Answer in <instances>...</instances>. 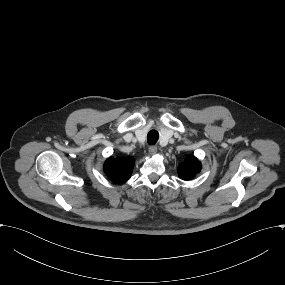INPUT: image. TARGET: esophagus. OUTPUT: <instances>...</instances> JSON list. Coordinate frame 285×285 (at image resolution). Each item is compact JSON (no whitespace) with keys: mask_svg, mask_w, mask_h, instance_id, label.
<instances>
[{"mask_svg":"<svg viewBox=\"0 0 285 285\" xmlns=\"http://www.w3.org/2000/svg\"><path fill=\"white\" fill-rule=\"evenodd\" d=\"M148 152L151 154V155H154L157 153V147L156 146H150L148 148Z\"/></svg>","mask_w":285,"mask_h":285,"instance_id":"1","label":"esophagus"}]
</instances>
